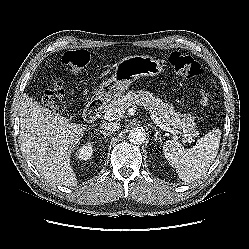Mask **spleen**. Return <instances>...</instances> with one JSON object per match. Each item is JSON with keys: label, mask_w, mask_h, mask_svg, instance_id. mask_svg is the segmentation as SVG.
<instances>
[{"label": "spleen", "mask_w": 249, "mask_h": 249, "mask_svg": "<svg viewBox=\"0 0 249 249\" xmlns=\"http://www.w3.org/2000/svg\"><path fill=\"white\" fill-rule=\"evenodd\" d=\"M221 131L212 130L197 140L193 148L184 149L175 140H167L163 152L170 166L177 171L184 182H191L203 176L215 160L220 145Z\"/></svg>", "instance_id": "obj_1"}]
</instances>
